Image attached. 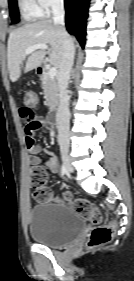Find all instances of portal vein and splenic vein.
<instances>
[{
  "label": "portal vein and splenic vein",
  "mask_w": 134,
  "mask_h": 281,
  "mask_svg": "<svg viewBox=\"0 0 134 281\" xmlns=\"http://www.w3.org/2000/svg\"><path fill=\"white\" fill-rule=\"evenodd\" d=\"M38 49L48 50V46L45 45V44H36V45L31 46V47H28L25 50V53L30 54L33 51L38 50ZM48 74H49L50 77H55L57 75V68L56 67H50L49 71H48Z\"/></svg>",
  "instance_id": "obj_1"
}]
</instances>
